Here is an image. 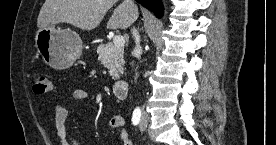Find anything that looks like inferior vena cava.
I'll return each mask as SVG.
<instances>
[{
    "label": "inferior vena cava",
    "mask_w": 276,
    "mask_h": 145,
    "mask_svg": "<svg viewBox=\"0 0 276 145\" xmlns=\"http://www.w3.org/2000/svg\"><path fill=\"white\" fill-rule=\"evenodd\" d=\"M124 3L127 6L133 8V9H136V5L134 4L133 0H124ZM132 34H133V37H134L135 43H136V46L133 50V54L135 55V57L140 59L141 54H142V48H141V45H140V36H139L138 31L135 28L132 29Z\"/></svg>",
    "instance_id": "602c4592"
}]
</instances>
